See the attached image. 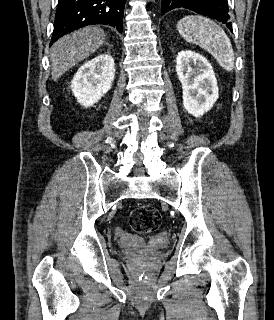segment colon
<instances>
[{
	"label": "colon",
	"instance_id": "5ec220e1",
	"mask_svg": "<svg viewBox=\"0 0 274 320\" xmlns=\"http://www.w3.org/2000/svg\"><path fill=\"white\" fill-rule=\"evenodd\" d=\"M132 231L136 234H151L162 223V215L150 204L137 205L129 216Z\"/></svg>",
	"mask_w": 274,
	"mask_h": 320
}]
</instances>
